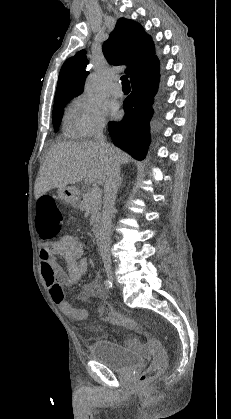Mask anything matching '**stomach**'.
I'll return each instance as SVG.
<instances>
[{"instance_id":"stomach-1","label":"stomach","mask_w":231,"mask_h":419,"mask_svg":"<svg viewBox=\"0 0 231 419\" xmlns=\"http://www.w3.org/2000/svg\"><path fill=\"white\" fill-rule=\"evenodd\" d=\"M81 192L75 186L58 188V197L67 204H76L80 199Z\"/></svg>"}]
</instances>
